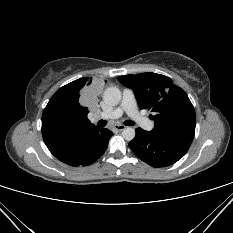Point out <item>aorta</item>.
<instances>
[{
	"mask_svg": "<svg viewBox=\"0 0 233 233\" xmlns=\"http://www.w3.org/2000/svg\"><path fill=\"white\" fill-rule=\"evenodd\" d=\"M122 98L121 91L116 87H109L104 91L103 100L106 104L116 106ZM122 136L125 140L131 141L135 137V130L132 127H127L123 130Z\"/></svg>",
	"mask_w": 233,
	"mask_h": 233,
	"instance_id": "1",
	"label": "aorta"
}]
</instances>
